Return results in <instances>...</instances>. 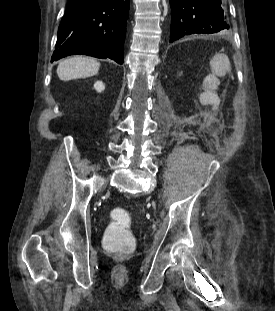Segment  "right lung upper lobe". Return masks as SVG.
<instances>
[{"label": "right lung upper lobe", "instance_id": "right-lung-upper-lobe-1", "mask_svg": "<svg viewBox=\"0 0 275 311\" xmlns=\"http://www.w3.org/2000/svg\"><path fill=\"white\" fill-rule=\"evenodd\" d=\"M72 1H75V0H69V2H72Z\"/></svg>", "mask_w": 275, "mask_h": 311}]
</instances>
